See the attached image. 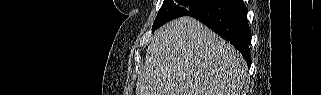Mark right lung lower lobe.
Returning <instances> with one entry per match:
<instances>
[{
    "label": "right lung lower lobe",
    "instance_id": "right-lung-lower-lobe-1",
    "mask_svg": "<svg viewBox=\"0 0 321 95\" xmlns=\"http://www.w3.org/2000/svg\"><path fill=\"white\" fill-rule=\"evenodd\" d=\"M188 16L198 19L230 42L244 56L248 66H251V31L243 0H211Z\"/></svg>",
    "mask_w": 321,
    "mask_h": 95
}]
</instances>
